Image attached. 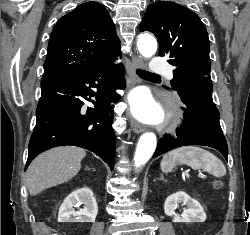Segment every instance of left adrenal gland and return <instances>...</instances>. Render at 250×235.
<instances>
[{"instance_id": "a2214340", "label": "left adrenal gland", "mask_w": 250, "mask_h": 235, "mask_svg": "<svg viewBox=\"0 0 250 235\" xmlns=\"http://www.w3.org/2000/svg\"><path fill=\"white\" fill-rule=\"evenodd\" d=\"M159 180H164L165 182H167V181L164 179V177H163V175H162V174L160 175Z\"/></svg>"}]
</instances>
